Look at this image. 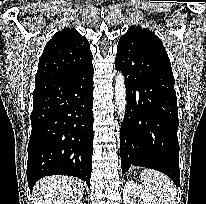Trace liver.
I'll return each instance as SVG.
<instances>
[{
  "label": "liver",
  "mask_w": 206,
  "mask_h": 204,
  "mask_svg": "<svg viewBox=\"0 0 206 204\" xmlns=\"http://www.w3.org/2000/svg\"><path fill=\"white\" fill-rule=\"evenodd\" d=\"M33 193L34 204H79L84 187L78 178L53 175L39 180Z\"/></svg>",
  "instance_id": "6515ba94"
}]
</instances>
